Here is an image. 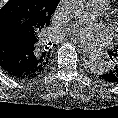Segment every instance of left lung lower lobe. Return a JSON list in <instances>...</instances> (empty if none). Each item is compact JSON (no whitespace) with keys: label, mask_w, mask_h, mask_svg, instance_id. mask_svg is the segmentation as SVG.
<instances>
[{"label":"left lung lower lobe","mask_w":118,"mask_h":118,"mask_svg":"<svg viewBox=\"0 0 118 118\" xmlns=\"http://www.w3.org/2000/svg\"><path fill=\"white\" fill-rule=\"evenodd\" d=\"M110 59L113 62L105 72L99 75V78L108 83L118 84V54L110 55Z\"/></svg>","instance_id":"obj_1"}]
</instances>
